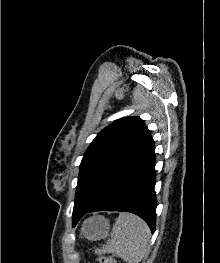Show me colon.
<instances>
[{
    "label": "colon",
    "instance_id": "5ec220e1",
    "mask_svg": "<svg viewBox=\"0 0 220 263\" xmlns=\"http://www.w3.org/2000/svg\"><path fill=\"white\" fill-rule=\"evenodd\" d=\"M97 261L98 263H120L119 261L109 256H99L97 258Z\"/></svg>",
    "mask_w": 220,
    "mask_h": 263
}]
</instances>
